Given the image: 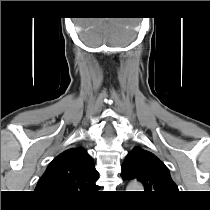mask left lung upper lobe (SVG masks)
I'll list each match as a JSON object with an SVG mask.
<instances>
[{"mask_svg": "<svg viewBox=\"0 0 210 210\" xmlns=\"http://www.w3.org/2000/svg\"><path fill=\"white\" fill-rule=\"evenodd\" d=\"M121 176L123 179L142 182L145 192L152 195L166 196L178 191L165 164L153 153L140 147H134L128 153Z\"/></svg>", "mask_w": 210, "mask_h": 210, "instance_id": "obj_1", "label": "left lung upper lobe"}]
</instances>
